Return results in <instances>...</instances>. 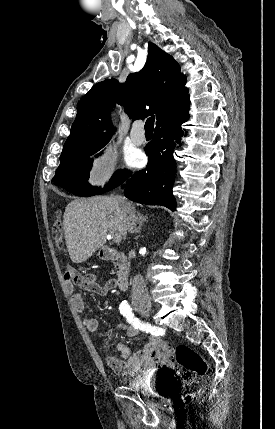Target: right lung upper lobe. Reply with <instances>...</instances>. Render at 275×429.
<instances>
[{
	"label": "right lung upper lobe",
	"instance_id": "1",
	"mask_svg": "<svg viewBox=\"0 0 275 429\" xmlns=\"http://www.w3.org/2000/svg\"><path fill=\"white\" fill-rule=\"evenodd\" d=\"M186 76L180 66L154 43L148 44L147 62L139 72L129 74L125 84L107 79L94 85L83 97L61 160L103 148L112 137L110 112L116 101L135 120L156 114V126L188 115ZM150 108L145 110V106Z\"/></svg>",
	"mask_w": 275,
	"mask_h": 429
}]
</instances>
